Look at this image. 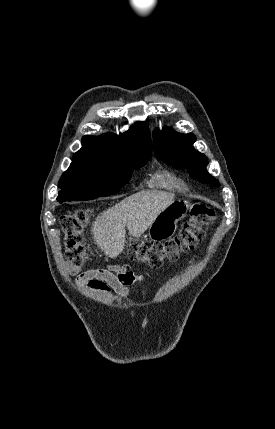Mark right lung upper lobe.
<instances>
[{
    "instance_id": "obj_1",
    "label": "right lung upper lobe",
    "mask_w": 275,
    "mask_h": 429,
    "mask_svg": "<svg viewBox=\"0 0 275 429\" xmlns=\"http://www.w3.org/2000/svg\"><path fill=\"white\" fill-rule=\"evenodd\" d=\"M150 132L145 122H136L128 131L115 135H86L82 138V148L73 156L72 162L109 161L124 155H150Z\"/></svg>"
}]
</instances>
